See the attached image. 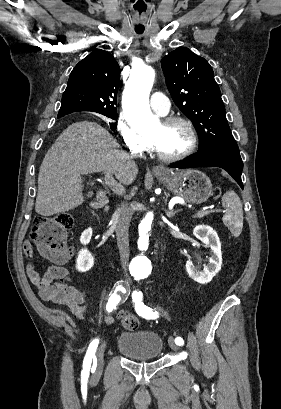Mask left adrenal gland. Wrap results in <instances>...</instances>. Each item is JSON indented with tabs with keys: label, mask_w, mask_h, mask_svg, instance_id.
<instances>
[{
	"label": "left adrenal gland",
	"mask_w": 281,
	"mask_h": 409,
	"mask_svg": "<svg viewBox=\"0 0 281 409\" xmlns=\"http://www.w3.org/2000/svg\"><path fill=\"white\" fill-rule=\"evenodd\" d=\"M176 213H178V211H173V213H167V217H175Z\"/></svg>",
	"instance_id": "1"
}]
</instances>
